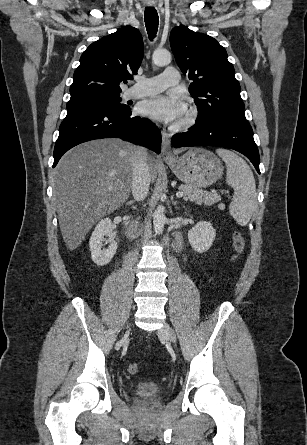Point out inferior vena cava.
Listing matches in <instances>:
<instances>
[{"label": "inferior vena cava", "instance_id": "1", "mask_svg": "<svg viewBox=\"0 0 307 445\" xmlns=\"http://www.w3.org/2000/svg\"><path fill=\"white\" fill-rule=\"evenodd\" d=\"M147 148L135 146L133 158L132 194L135 200H143L147 196L150 174L147 162Z\"/></svg>", "mask_w": 307, "mask_h": 445}]
</instances>
